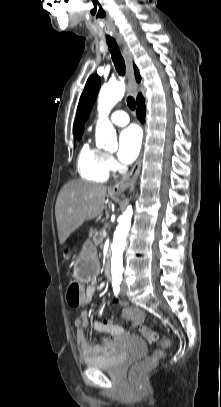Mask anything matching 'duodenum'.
Instances as JSON below:
<instances>
[{
  "label": "duodenum",
  "mask_w": 221,
  "mask_h": 407,
  "mask_svg": "<svg viewBox=\"0 0 221 407\" xmlns=\"http://www.w3.org/2000/svg\"><path fill=\"white\" fill-rule=\"evenodd\" d=\"M105 273H106V276L108 278H111V269H110V264L109 263H107V265L105 267Z\"/></svg>",
  "instance_id": "obj_1"
}]
</instances>
